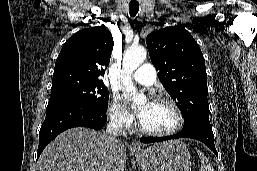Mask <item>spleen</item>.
I'll list each match as a JSON object with an SVG mask.
<instances>
[{
	"instance_id": "3e777b00",
	"label": "spleen",
	"mask_w": 257,
	"mask_h": 171,
	"mask_svg": "<svg viewBox=\"0 0 257 171\" xmlns=\"http://www.w3.org/2000/svg\"><path fill=\"white\" fill-rule=\"evenodd\" d=\"M199 157L201 159V167L200 171H214L213 166L209 163L208 158L204 156V154L198 150Z\"/></svg>"
}]
</instances>
